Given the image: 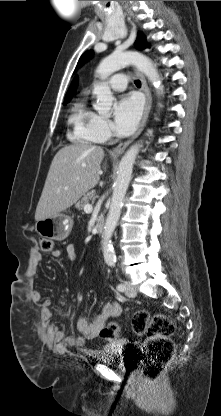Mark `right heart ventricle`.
<instances>
[{"label": "right heart ventricle", "mask_w": 221, "mask_h": 416, "mask_svg": "<svg viewBox=\"0 0 221 416\" xmlns=\"http://www.w3.org/2000/svg\"><path fill=\"white\" fill-rule=\"evenodd\" d=\"M94 117L95 113L87 107L85 102L80 101L74 104L70 116L74 141L81 143H98L102 141L94 130Z\"/></svg>", "instance_id": "obj_1"}]
</instances>
